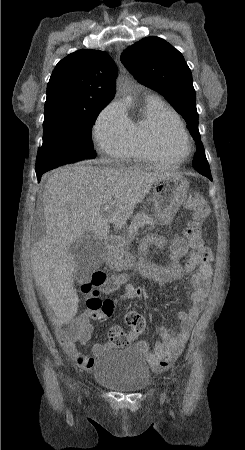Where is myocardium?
Returning <instances> with one entry per match:
<instances>
[{
    "label": "myocardium",
    "mask_w": 245,
    "mask_h": 450,
    "mask_svg": "<svg viewBox=\"0 0 245 450\" xmlns=\"http://www.w3.org/2000/svg\"><path fill=\"white\" fill-rule=\"evenodd\" d=\"M170 120L172 121L179 129L180 133L182 134L185 142H186V146H187V152L183 155H177L175 153H173L161 140L159 133L154 130L153 133V144L154 146L161 152H163L164 154L169 155L170 157H172L175 160H181V159H186L192 152V144H191V139L190 136L187 132V130L185 129L184 125L179 122L178 120L171 118V117H165L162 118L159 123H163L164 121Z\"/></svg>",
    "instance_id": "myocardium-1"
}]
</instances>
